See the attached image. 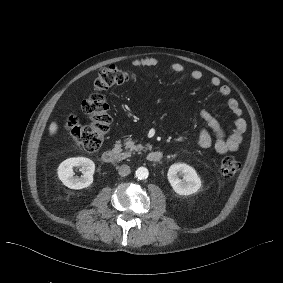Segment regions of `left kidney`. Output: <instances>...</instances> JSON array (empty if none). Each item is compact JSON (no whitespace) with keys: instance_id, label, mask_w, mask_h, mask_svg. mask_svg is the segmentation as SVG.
<instances>
[{"instance_id":"5707ae66","label":"left kidney","mask_w":283,"mask_h":283,"mask_svg":"<svg viewBox=\"0 0 283 283\" xmlns=\"http://www.w3.org/2000/svg\"><path fill=\"white\" fill-rule=\"evenodd\" d=\"M180 176L183 179H180ZM167 178L173 190L179 195H191L201 187V179L196 170L185 163L171 165Z\"/></svg>"}]
</instances>
